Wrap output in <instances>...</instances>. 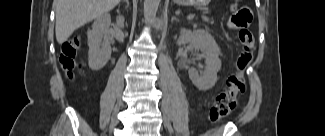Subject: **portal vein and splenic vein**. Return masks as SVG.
<instances>
[{"instance_id":"portal-vein-and-splenic-vein-1","label":"portal vein and splenic vein","mask_w":325,"mask_h":136,"mask_svg":"<svg viewBox=\"0 0 325 136\" xmlns=\"http://www.w3.org/2000/svg\"><path fill=\"white\" fill-rule=\"evenodd\" d=\"M193 17H194V14H189L187 18L192 19Z\"/></svg>"}]
</instances>
